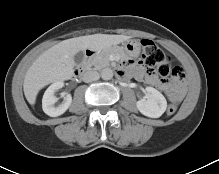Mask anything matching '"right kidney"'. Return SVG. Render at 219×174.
Instances as JSON below:
<instances>
[{
    "mask_svg": "<svg viewBox=\"0 0 219 174\" xmlns=\"http://www.w3.org/2000/svg\"><path fill=\"white\" fill-rule=\"evenodd\" d=\"M64 86L62 81H57L51 84L47 90L45 91L42 99V108L44 113L51 117H57L66 112V110L70 107L72 102L71 95H67L64 97L62 103L58 106H55L58 98L54 95L56 91L61 89Z\"/></svg>",
    "mask_w": 219,
    "mask_h": 174,
    "instance_id": "right-kidney-1",
    "label": "right kidney"
}]
</instances>
